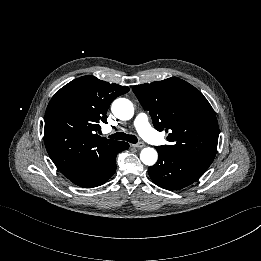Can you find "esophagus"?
I'll return each mask as SVG.
<instances>
[{
	"mask_svg": "<svg viewBox=\"0 0 261 261\" xmlns=\"http://www.w3.org/2000/svg\"><path fill=\"white\" fill-rule=\"evenodd\" d=\"M134 147H137V148H142V147H144L145 146V144H144V142H139V143H137V144H134L133 145Z\"/></svg>",
	"mask_w": 261,
	"mask_h": 261,
	"instance_id": "obj_1",
	"label": "esophagus"
}]
</instances>
